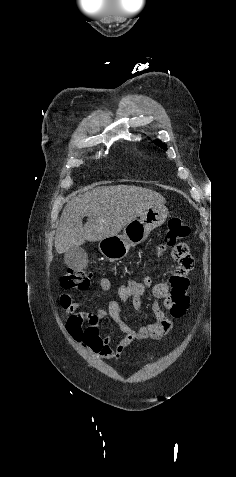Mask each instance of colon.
Here are the masks:
<instances>
[{
	"label": "colon",
	"instance_id": "colon-1",
	"mask_svg": "<svg viewBox=\"0 0 236 477\" xmlns=\"http://www.w3.org/2000/svg\"><path fill=\"white\" fill-rule=\"evenodd\" d=\"M190 234V226L179 218H171L168 221L165 241L173 248L172 255L175 259H181L189 254V248L181 240ZM92 274L85 271L70 269L62 278L61 286L66 290H85L89 287Z\"/></svg>",
	"mask_w": 236,
	"mask_h": 477
}]
</instances>
